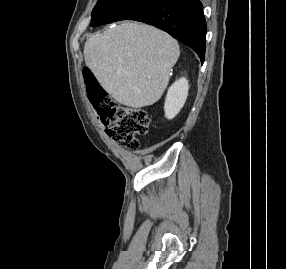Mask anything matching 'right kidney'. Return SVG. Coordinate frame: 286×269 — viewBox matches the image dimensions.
<instances>
[{"label": "right kidney", "instance_id": "1", "mask_svg": "<svg viewBox=\"0 0 286 269\" xmlns=\"http://www.w3.org/2000/svg\"><path fill=\"white\" fill-rule=\"evenodd\" d=\"M188 81L185 78H181L175 81L168 89L164 111L167 119H173L184 106L188 96Z\"/></svg>", "mask_w": 286, "mask_h": 269}]
</instances>
